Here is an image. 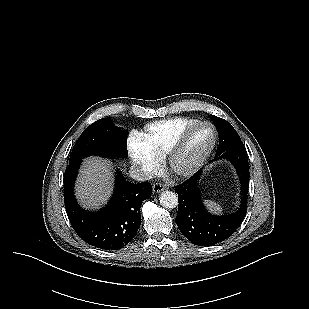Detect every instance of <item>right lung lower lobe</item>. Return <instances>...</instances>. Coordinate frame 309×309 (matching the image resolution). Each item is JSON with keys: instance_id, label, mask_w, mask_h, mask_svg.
Returning <instances> with one entry per match:
<instances>
[{"instance_id": "right-lung-lower-lobe-1", "label": "right lung lower lobe", "mask_w": 309, "mask_h": 309, "mask_svg": "<svg viewBox=\"0 0 309 309\" xmlns=\"http://www.w3.org/2000/svg\"><path fill=\"white\" fill-rule=\"evenodd\" d=\"M81 164H69L64 174V201L68 218L77 235L88 244L104 249L118 250L136 235L140 223V207L151 197L149 182L134 184L117 172L115 188L109 203L97 212L79 207L74 196V181Z\"/></svg>"}]
</instances>
